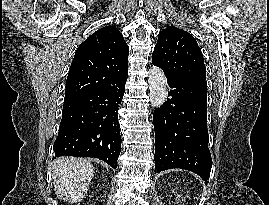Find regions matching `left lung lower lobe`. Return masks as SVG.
I'll return each mask as SVG.
<instances>
[{
  "label": "left lung lower lobe",
  "mask_w": 269,
  "mask_h": 205,
  "mask_svg": "<svg viewBox=\"0 0 269 205\" xmlns=\"http://www.w3.org/2000/svg\"><path fill=\"white\" fill-rule=\"evenodd\" d=\"M166 77L171 88L169 98L153 113L155 172L180 168L207 181L212 167L208 148L207 83L201 79Z\"/></svg>",
  "instance_id": "0a47b994"
}]
</instances>
